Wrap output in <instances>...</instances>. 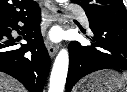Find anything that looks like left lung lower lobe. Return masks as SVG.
Wrapping results in <instances>:
<instances>
[{
    "label": "left lung lower lobe",
    "mask_w": 127,
    "mask_h": 92,
    "mask_svg": "<svg viewBox=\"0 0 127 92\" xmlns=\"http://www.w3.org/2000/svg\"><path fill=\"white\" fill-rule=\"evenodd\" d=\"M91 45L69 44L70 64L66 91L92 72L102 69L127 70V21L89 18Z\"/></svg>",
    "instance_id": "left-lung-lower-lobe-1"
}]
</instances>
